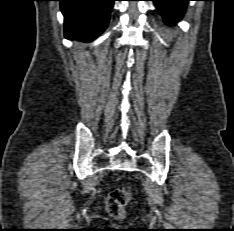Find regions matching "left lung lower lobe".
<instances>
[{
  "label": "left lung lower lobe",
  "instance_id": "1",
  "mask_svg": "<svg viewBox=\"0 0 234 231\" xmlns=\"http://www.w3.org/2000/svg\"><path fill=\"white\" fill-rule=\"evenodd\" d=\"M164 20L175 23L183 16L187 2L190 0H152Z\"/></svg>",
  "mask_w": 234,
  "mask_h": 231
}]
</instances>
